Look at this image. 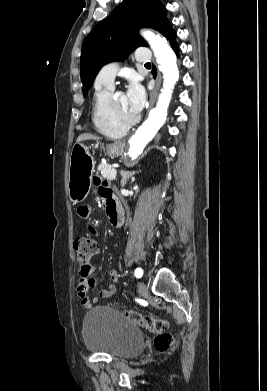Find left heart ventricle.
<instances>
[{
  "label": "left heart ventricle",
  "instance_id": "left-heart-ventricle-1",
  "mask_svg": "<svg viewBox=\"0 0 267 391\" xmlns=\"http://www.w3.org/2000/svg\"><path fill=\"white\" fill-rule=\"evenodd\" d=\"M113 104L117 114L123 119H131L136 116L129 106L127 97L125 94H117L113 99Z\"/></svg>",
  "mask_w": 267,
  "mask_h": 391
}]
</instances>
